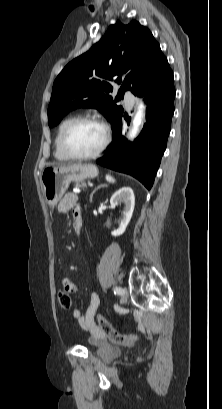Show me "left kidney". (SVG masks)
<instances>
[{
  "mask_svg": "<svg viewBox=\"0 0 222 409\" xmlns=\"http://www.w3.org/2000/svg\"><path fill=\"white\" fill-rule=\"evenodd\" d=\"M124 203V211L122 215V219L119 224V228L112 232L113 236H120L122 235L133 214L134 206H135V197L133 190L130 187H122L117 190L110 199L111 207L115 208L118 204Z\"/></svg>",
  "mask_w": 222,
  "mask_h": 409,
  "instance_id": "obj_1",
  "label": "left kidney"
}]
</instances>
